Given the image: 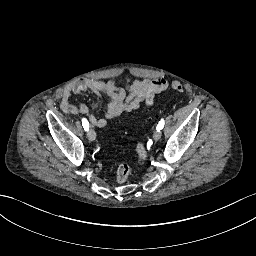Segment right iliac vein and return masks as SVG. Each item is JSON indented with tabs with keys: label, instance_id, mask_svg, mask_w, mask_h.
<instances>
[{
	"label": "right iliac vein",
	"instance_id": "1",
	"mask_svg": "<svg viewBox=\"0 0 256 256\" xmlns=\"http://www.w3.org/2000/svg\"><path fill=\"white\" fill-rule=\"evenodd\" d=\"M88 139H89L90 141H95V139H96V133H95V131H94L93 129H90V130L88 131Z\"/></svg>",
	"mask_w": 256,
	"mask_h": 256
}]
</instances>
